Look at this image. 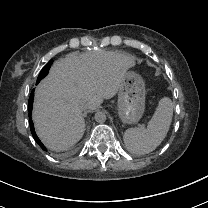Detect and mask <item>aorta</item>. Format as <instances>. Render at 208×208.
Wrapping results in <instances>:
<instances>
[{"label":"aorta","mask_w":208,"mask_h":208,"mask_svg":"<svg viewBox=\"0 0 208 208\" xmlns=\"http://www.w3.org/2000/svg\"><path fill=\"white\" fill-rule=\"evenodd\" d=\"M107 119V116L104 112H97L95 114V121L98 123H104Z\"/></svg>","instance_id":"aorta-1"}]
</instances>
